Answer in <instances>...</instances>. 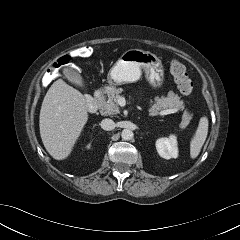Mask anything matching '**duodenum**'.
<instances>
[{"mask_svg": "<svg viewBox=\"0 0 240 240\" xmlns=\"http://www.w3.org/2000/svg\"><path fill=\"white\" fill-rule=\"evenodd\" d=\"M104 90V88H99L93 96H90L86 99V107L90 112H95L98 110Z\"/></svg>", "mask_w": 240, "mask_h": 240, "instance_id": "obj_1", "label": "duodenum"}]
</instances>
